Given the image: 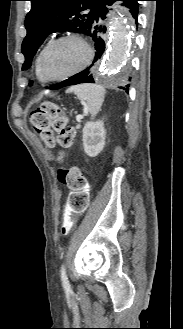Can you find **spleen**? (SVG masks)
Instances as JSON below:
<instances>
[{"instance_id":"obj_1","label":"spleen","mask_w":183,"mask_h":329,"mask_svg":"<svg viewBox=\"0 0 183 329\" xmlns=\"http://www.w3.org/2000/svg\"><path fill=\"white\" fill-rule=\"evenodd\" d=\"M67 93H74L85 105V109L90 113L91 118H94L101 109L106 90L100 85L81 84L70 87Z\"/></svg>"}]
</instances>
